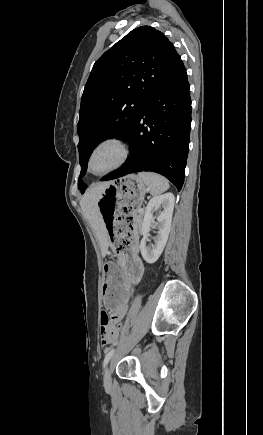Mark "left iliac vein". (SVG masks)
<instances>
[{"instance_id": "1", "label": "left iliac vein", "mask_w": 263, "mask_h": 435, "mask_svg": "<svg viewBox=\"0 0 263 435\" xmlns=\"http://www.w3.org/2000/svg\"><path fill=\"white\" fill-rule=\"evenodd\" d=\"M111 382H112V380H111L110 368L107 367L105 372H104V385L106 387H109V386H111Z\"/></svg>"}]
</instances>
